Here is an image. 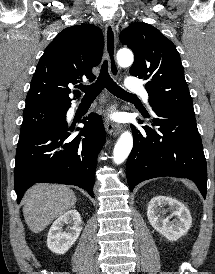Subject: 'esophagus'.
<instances>
[{
    "instance_id": "1",
    "label": "esophagus",
    "mask_w": 215,
    "mask_h": 274,
    "mask_svg": "<svg viewBox=\"0 0 215 274\" xmlns=\"http://www.w3.org/2000/svg\"><path fill=\"white\" fill-rule=\"evenodd\" d=\"M105 48L106 56L109 63V70L113 77L117 78L119 75V68L116 63V33L114 24L112 21H108L105 25ZM105 129L108 134L112 136H117L121 130L122 126L118 123H114L109 119L105 120Z\"/></svg>"
}]
</instances>
